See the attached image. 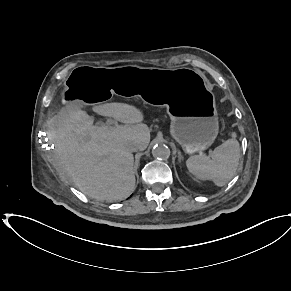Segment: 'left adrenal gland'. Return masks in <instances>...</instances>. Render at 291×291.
I'll return each mask as SVG.
<instances>
[{"instance_id": "left-adrenal-gland-1", "label": "left adrenal gland", "mask_w": 291, "mask_h": 291, "mask_svg": "<svg viewBox=\"0 0 291 291\" xmlns=\"http://www.w3.org/2000/svg\"><path fill=\"white\" fill-rule=\"evenodd\" d=\"M179 162H181V160L183 159L182 155H181V152H179Z\"/></svg>"}]
</instances>
